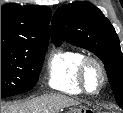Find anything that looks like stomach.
<instances>
[{
	"instance_id": "0dacf381",
	"label": "stomach",
	"mask_w": 123,
	"mask_h": 113,
	"mask_svg": "<svg viewBox=\"0 0 123 113\" xmlns=\"http://www.w3.org/2000/svg\"><path fill=\"white\" fill-rule=\"evenodd\" d=\"M86 109L81 107H73L68 110L67 113H85Z\"/></svg>"
}]
</instances>
